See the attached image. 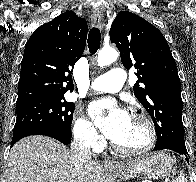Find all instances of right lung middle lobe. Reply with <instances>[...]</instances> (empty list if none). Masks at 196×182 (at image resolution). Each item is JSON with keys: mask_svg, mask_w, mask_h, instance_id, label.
<instances>
[{"mask_svg": "<svg viewBox=\"0 0 196 182\" xmlns=\"http://www.w3.org/2000/svg\"><path fill=\"white\" fill-rule=\"evenodd\" d=\"M75 105L64 96L45 97L16 105L17 119L13 134L25 129L46 126L71 134Z\"/></svg>", "mask_w": 196, "mask_h": 182, "instance_id": "obj_1", "label": "right lung middle lobe"}]
</instances>
